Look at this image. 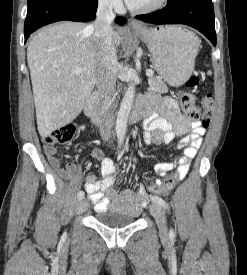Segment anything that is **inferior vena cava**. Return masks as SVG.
Wrapping results in <instances>:
<instances>
[{"label":"inferior vena cava","mask_w":247,"mask_h":275,"mask_svg":"<svg viewBox=\"0 0 247 275\" xmlns=\"http://www.w3.org/2000/svg\"><path fill=\"white\" fill-rule=\"evenodd\" d=\"M96 15L95 23L87 26V30L93 34L96 48L103 50L108 65V68L97 70V85L101 90L105 106L102 112L100 134L104 141H109L113 133L108 125L113 120V96L116 88V77L112 69L118 64L112 29V22L115 18L113 0H99Z\"/></svg>","instance_id":"602c4592"}]
</instances>
